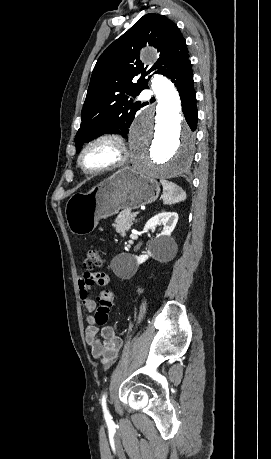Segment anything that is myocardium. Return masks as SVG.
Returning <instances> with one entry per match:
<instances>
[{
	"label": "myocardium",
	"mask_w": 271,
	"mask_h": 459,
	"mask_svg": "<svg viewBox=\"0 0 271 459\" xmlns=\"http://www.w3.org/2000/svg\"><path fill=\"white\" fill-rule=\"evenodd\" d=\"M105 139L111 140L115 144L116 150H117L115 157L111 161L105 164H102L94 169H91V170L85 169L82 165V159H83L84 154L90 148V146L93 145L95 142H98L100 140H105ZM127 155H128V147L121 133L115 130H103L89 137L83 143L76 157V165L78 169L84 175H96L98 173H101L107 170H111V169L121 166L122 164L125 163L127 159Z\"/></svg>",
	"instance_id": "myocardium-1"
}]
</instances>
